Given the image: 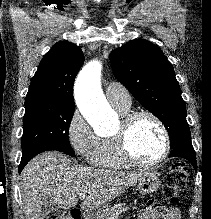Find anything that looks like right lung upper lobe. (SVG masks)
Wrapping results in <instances>:
<instances>
[{
  "instance_id": "right-lung-upper-lobe-1",
  "label": "right lung upper lobe",
  "mask_w": 211,
  "mask_h": 219,
  "mask_svg": "<svg viewBox=\"0 0 211 219\" xmlns=\"http://www.w3.org/2000/svg\"><path fill=\"white\" fill-rule=\"evenodd\" d=\"M84 62L82 50L68 41L57 42L43 57L36 71L25 103L50 101L74 106L73 82Z\"/></svg>"
}]
</instances>
